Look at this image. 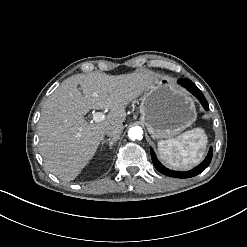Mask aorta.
I'll return each mask as SVG.
<instances>
[{
	"mask_svg": "<svg viewBox=\"0 0 247 247\" xmlns=\"http://www.w3.org/2000/svg\"><path fill=\"white\" fill-rule=\"evenodd\" d=\"M128 136L132 140L141 139L143 137V130L139 126L131 127L128 131Z\"/></svg>",
	"mask_w": 247,
	"mask_h": 247,
	"instance_id": "obj_1",
	"label": "aorta"
}]
</instances>
